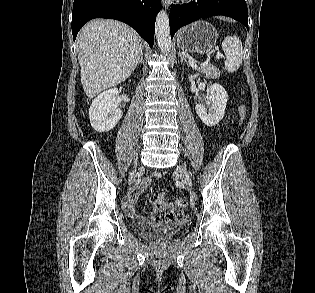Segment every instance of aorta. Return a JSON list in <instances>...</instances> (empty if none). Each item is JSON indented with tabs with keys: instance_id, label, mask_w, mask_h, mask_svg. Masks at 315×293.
Returning a JSON list of instances; mask_svg holds the SVG:
<instances>
[{
	"instance_id": "762f6f07",
	"label": "aorta",
	"mask_w": 315,
	"mask_h": 293,
	"mask_svg": "<svg viewBox=\"0 0 315 293\" xmlns=\"http://www.w3.org/2000/svg\"><path fill=\"white\" fill-rule=\"evenodd\" d=\"M155 35L158 47L162 53H169L171 50L170 27L168 15L164 10L160 11L157 15Z\"/></svg>"
}]
</instances>
